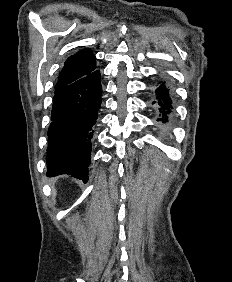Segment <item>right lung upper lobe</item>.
Wrapping results in <instances>:
<instances>
[{"label": "right lung upper lobe", "instance_id": "1", "mask_svg": "<svg viewBox=\"0 0 232 282\" xmlns=\"http://www.w3.org/2000/svg\"><path fill=\"white\" fill-rule=\"evenodd\" d=\"M96 68L95 56L89 49H83L70 56L58 76L56 89H60L93 72Z\"/></svg>", "mask_w": 232, "mask_h": 282}]
</instances>
